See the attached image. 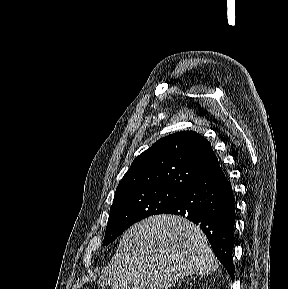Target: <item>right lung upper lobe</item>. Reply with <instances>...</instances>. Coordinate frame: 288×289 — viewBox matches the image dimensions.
<instances>
[{
    "label": "right lung upper lobe",
    "mask_w": 288,
    "mask_h": 289,
    "mask_svg": "<svg viewBox=\"0 0 288 289\" xmlns=\"http://www.w3.org/2000/svg\"><path fill=\"white\" fill-rule=\"evenodd\" d=\"M218 164L208 140L197 132L181 131L161 138L135 158L116 193L156 187L187 189Z\"/></svg>",
    "instance_id": "obj_1"
}]
</instances>
